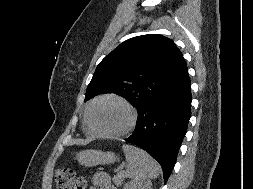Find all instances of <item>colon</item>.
<instances>
[{
    "instance_id": "1",
    "label": "colon",
    "mask_w": 253,
    "mask_h": 189,
    "mask_svg": "<svg viewBox=\"0 0 253 189\" xmlns=\"http://www.w3.org/2000/svg\"><path fill=\"white\" fill-rule=\"evenodd\" d=\"M56 183L58 189H85V180L76 176L68 167H62L57 171Z\"/></svg>"
}]
</instances>
